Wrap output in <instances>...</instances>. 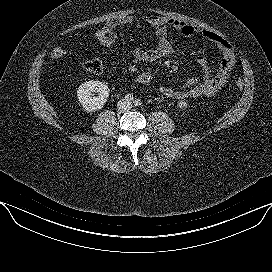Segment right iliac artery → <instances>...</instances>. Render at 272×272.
<instances>
[{
	"instance_id": "82829eb1",
	"label": "right iliac artery",
	"mask_w": 272,
	"mask_h": 272,
	"mask_svg": "<svg viewBox=\"0 0 272 272\" xmlns=\"http://www.w3.org/2000/svg\"><path fill=\"white\" fill-rule=\"evenodd\" d=\"M125 99L127 100V101H132L133 99H134V97H133V94H127L126 96H125Z\"/></svg>"
}]
</instances>
